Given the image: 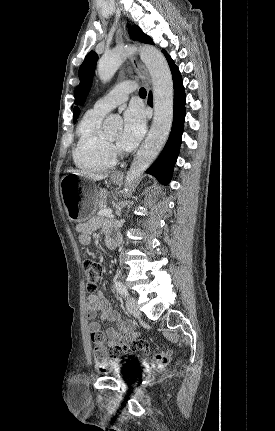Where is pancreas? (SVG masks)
I'll list each match as a JSON object with an SVG mask.
<instances>
[{
    "instance_id": "1",
    "label": "pancreas",
    "mask_w": 275,
    "mask_h": 431,
    "mask_svg": "<svg viewBox=\"0 0 275 431\" xmlns=\"http://www.w3.org/2000/svg\"><path fill=\"white\" fill-rule=\"evenodd\" d=\"M107 191L106 190H100L98 195V201L97 203L102 206V208L106 205V198H107Z\"/></svg>"
}]
</instances>
